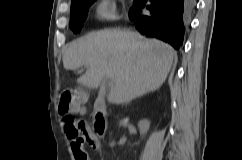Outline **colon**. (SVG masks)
I'll return each mask as SVG.
<instances>
[{
	"instance_id": "obj_1",
	"label": "colon",
	"mask_w": 242,
	"mask_h": 160,
	"mask_svg": "<svg viewBox=\"0 0 242 160\" xmlns=\"http://www.w3.org/2000/svg\"><path fill=\"white\" fill-rule=\"evenodd\" d=\"M83 95H76L70 89H64L59 95V112L62 114V123L68 137L73 141V147L78 150L79 160H89L88 155L80 150L81 144L87 140L86 128L83 123L76 121L71 115L80 109L84 102ZM97 145L93 146L96 148Z\"/></svg>"
}]
</instances>
